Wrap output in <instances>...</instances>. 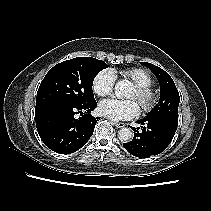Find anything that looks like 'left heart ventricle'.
Here are the masks:
<instances>
[{
	"label": "left heart ventricle",
	"mask_w": 211,
	"mask_h": 211,
	"mask_svg": "<svg viewBox=\"0 0 211 211\" xmlns=\"http://www.w3.org/2000/svg\"><path fill=\"white\" fill-rule=\"evenodd\" d=\"M128 98H129V99H133V100H135V101L137 102V95H136L135 89H133V90L131 91V93L128 95ZM137 103H138V102H137Z\"/></svg>",
	"instance_id": "left-heart-ventricle-1"
}]
</instances>
